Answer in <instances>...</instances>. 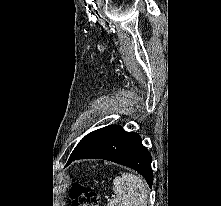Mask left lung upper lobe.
Returning a JSON list of instances; mask_svg holds the SVG:
<instances>
[{"mask_svg": "<svg viewBox=\"0 0 221 206\" xmlns=\"http://www.w3.org/2000/svg\"><path fill=\"white\" fill-rule=\"evenodd\" d=\"M101 128L98 130H95L91 133H89L88 135H86L76 146V148L74 149V151L72 152L71 156H74L76 154H78L79 152H81L84 148H86L92 141H94L101 133L102 131L105 129Z\"/></svg>", "mask_w": 221, "mask_h": 206, "instance_id": "left-lung-upper-lobe-1", "label": "left lung upper lobe"}]
</instances>
